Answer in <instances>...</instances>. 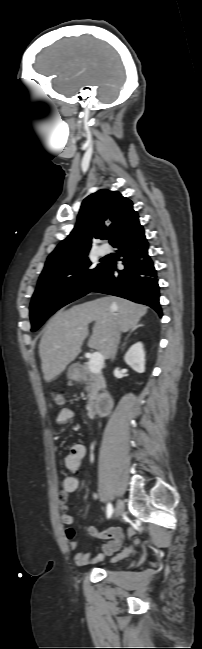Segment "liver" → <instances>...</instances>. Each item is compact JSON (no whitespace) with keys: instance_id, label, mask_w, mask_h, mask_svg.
I'll use <instances>...</instances> for the list:
<instances>
[{"instance_id":"1","label":"liver","mask_w":202,"mask_h":649,"mask_svg":"<svg viewBox=\"0 0 202 649\" xmlns=\"http://www.w3.org/2000/svg\"><path fill=\"white\" fill-rule=\"evenodd\" d=\"M147 307L117 297H101L58 312L48 322L39 344L44 380L51 382L81 352L88 325L95 321L88 346L109 359L119 332L133 328Z\"/></svg>"}]
</instances>
